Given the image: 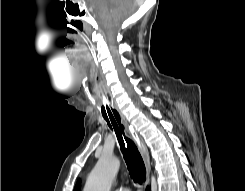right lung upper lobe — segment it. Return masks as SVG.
Masks as SVG:
<instances>
[{
    "label": "right lung upper lobe",
    "instance_id": "1",
    "mask_svg": "<svg viewBox=\"0 0 245 191\" xmlns=\"http://www.w3.org/2000/svg\"><path fill=\"white\" fill-rule=\"evenodd\" d=\"M79 187H80V180L77 182L74 191H79Z\"/></svg>",
    "mask_w": 245,
    "mask_h": 191
}]
</instances>
